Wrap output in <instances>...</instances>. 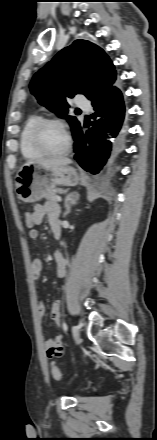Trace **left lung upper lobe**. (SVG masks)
I'll return each mask as SVG.
<instances>
[{
    "label": "left lung upper lobe",
    "instance_id": "5c2ea615",
    "mask_svg": "<svg viewBox=\"0 0 157 440\" xmlns=\"http://www.w3.org/2000/svg\"><path fill=\"white\" fill-rule=\"evenodd\" d=\"M115 80V67L107 54L89 41L76 40L33 76L30 89L40 104L65 118L73 132L80 122L68 115L66 98L83 94L94 101L114 87Z\"/></svg>",
    "mask_w": 157,
    "mask_h": 440
}]
</instances>
